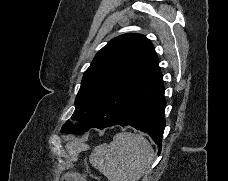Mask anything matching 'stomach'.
<instances>
[{"mask_svg":"<svg viewBox=\"0 0 228 181\" xmlns=\"http://www.w3.org/2000/svg\"><path fill=\"white\" fill-rule=\"evenodd\" d=\"M61 181H86V175H79V173H65Z\"/></svg>","mask_w":228,"mask_h":181,"instance_id":"stomach-1","label":"stomach"}]
</instances>
